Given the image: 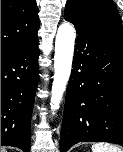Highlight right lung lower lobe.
Wrapping results in <instances>:
<instances>
[{
    "label": "right lung lower lobe",
    "instance_id": "1",
    "mask_svg": "<svg viewBox=\"0 0 123 152\" xmlns=\"http://www.w3.org/2000/svg\"><path fill=\"white\" fill-rule=\"evenodd\" d=\"M38 38L1 51V146L30 151V122L38 83Z\"/></svg>",
    "mask_w": 123,
    "mask_h": 152
}]
</instances>
